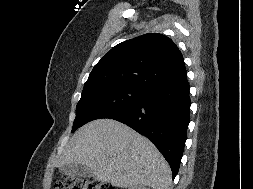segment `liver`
Segmentation results:
<instances>
[{
    "label": "liver",
    "instance_id": "6515ba94",
    "mask_svg": "<svg viewBox=\"0 0 253 189\" xmlns=\"http://www.w3.org/2000/svg\"><path fill=\"white\" fill-rule=\"evenodd\" d=\"M81 163L100 182L127 188L168 189L171 169L158 149L144 136L112 119H98L79 128L57 166Z\"/></svg>",
    "mask_w": 253,
    "mask_h": 189
}]
</instances>
